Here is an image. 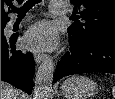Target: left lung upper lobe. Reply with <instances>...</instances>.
Returning <instances> with one entry per match:
<instances>
[{
  "label": "left lung upper lobe",
  "mask_w": 115,
  "mask_h": 99,
  "mask_svg": "<svg viewBox=\"0 0 115 99\" xmlns=\"http://www.w3.org/2000/svg\"><path fill=\"white\" fill-rule=\"evenodd\" d=\"M75 21L68 28L69 38L77 46L99 40H115V0H71Z\"/></svg>",
  "instance_id": "1"
}]
</instances>
